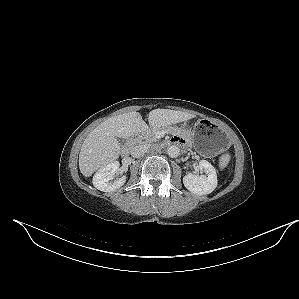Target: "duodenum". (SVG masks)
Returning a JSON list of instances; mask_svg holds the SVG:
<instances>
[{
    "label": "duodenum",
    "instance_id": "1",
    "mask_svg": "<svg viewBox=\"0 0 299 299\" xmlns=\"http://www.w3.org/2000/svg\"><path fill=\"white\" fill-rule=\"evenodd\" d=\"M170 142H171V143H178V142H180V139L177 138V137H175V138L171 139ZM134 144H135V140H134V139H130V140H128V141L125 143V145L122 147V151H121L122 155H124V156L128 155L129 152H130V150H131L132 147L134 146Z\"/></svg>",
    "mask_w": 299,
    "mask_h": 299
}]
</instances>
